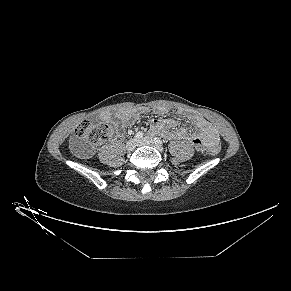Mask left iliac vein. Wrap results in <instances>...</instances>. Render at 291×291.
Returning <instances> with one entry per match:
<instances>
[{"label":"left iliac vein","instance_id":"4c4485c4","mask_svg":"<svg viewBox=\"0 0 291 291\" xmlns=\"http://www.w3.org/2000/svg\"><path fill=\"white\" fill-rule=\"evenodd\" d=\"M137 145H138V146L149 145V146H153V147H155V148H156L157 150H159V151H163L162 146L156 144V143L154 142V140H152V139L149 138V137H145V138H143V139L138 140Z\"/></svg>","mask_w":291,"mask_h":291}]
</instances>
